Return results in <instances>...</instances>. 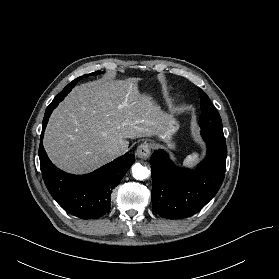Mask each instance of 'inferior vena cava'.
<instances>
[{"instance_id": "inferior-vena-cava-1", "label": "inferior vena cava", "mask_w": 279, "mask_h": 279, "mask_svg": "<svg viewBox=\"0 0 279 279\" xmlns=\"http://www.w3.org/2000/svg\"><path fill=\"white\" fill-rule=\"evenodd\" d=\"M126 151H127V149L120 147V146H116V147H113L112 149H110L109 153L111 156L117 157V156L124 154Z\"/></svg>"}]
</instances>
